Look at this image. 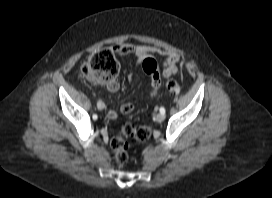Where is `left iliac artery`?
<instances>
[{
	"instance_id": "1",
	"label": "left iliac artery",
	"mask_w": 272,
	"mask_h": 198,
	"mask_svg": "<svg viewBox=\"0 0 272 198\" xmlns=\"http://www.w3.org/2000/svg\"><path fill=\"white\" fill-rule=\"evenodd\" d=\"M160 113L165 114V109H164V107H161V108H160Z\"/></svg>"
}]
</instances>
